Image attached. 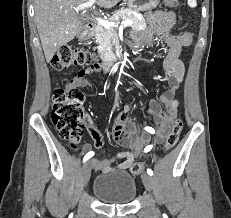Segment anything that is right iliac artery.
Here are the masks:
<instances>
[{
    "label": "right iliac artery",
    "instance_id": "82829eb1",
    "mask_svg": "<svg viewBox=\"0 0 231 218\" xmlns=\"http://www.w3.org/2000/svg\"><path fill=\"white\" fill-rule=\"evenodd\" d=\"M94 155V152H88L85 156H84V159L83 161H87L89 158H91L92 156Z\"/></svg>",
    "mask_w": 231,
    "mask_h": 218
}]
</instances>
